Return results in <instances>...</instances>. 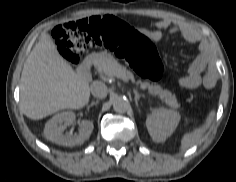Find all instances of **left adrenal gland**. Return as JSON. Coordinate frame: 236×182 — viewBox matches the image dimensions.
I'll return each instance as SVG.
<instances>
[{
  "label": "left adrenal gland",
  "mask_w": 236,
  "mask_h": 182,
  "mask_svg": "<svg viewBox=\"0 0 236 182\" xmlns=\"http://www.w3.org/2000/svg\"><path fill=\"white\" fill-rule=\"evenodd\" d=\"M134 94H135V104L138 107V101L140 100V98H145L144 94H139L138 91L136 89L133 90Z\"/></svg>",
  "instance_id": "left-adrenal-gland-1"
}]
</instances>
